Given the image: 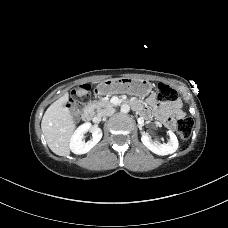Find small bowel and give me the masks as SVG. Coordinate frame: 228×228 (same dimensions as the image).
Masks as SVG:
<instances>
[{"mask_svg": "<svg viewBox=\"0 0 228 228\" xmlns=\"http://www.w3.org/2000/svg\"><path fill=\"white\" fill-rule=\"evenodd\" d=\"M148 102L150 104L155 103V95L151 94L148 97ZM133 102V107L142 111L144 114L149 113V109L146 107L141 106V104L137 100H132ZM181 101L180 100H175L169 105H158L157 110L159 113V118L164 121L165 123H170L173 118H180L183 116V112L181 111Z\"/></svg>", "mask_w": 228, "mask_h": 228, "instance_id": "obj_1", "label": "small bowel"}]
</instances>
